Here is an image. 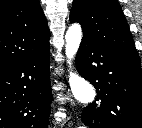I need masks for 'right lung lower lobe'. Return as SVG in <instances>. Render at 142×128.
<instances>
[{
    "label": "right lung lower lobe",
    "mask_w": 142,
    "mask_h": 128,
    "mask_svg": "<svg viewBox=\"0 0 142 128\" xmlns=\"http://www.w3.org/2000/svg\"><path fill=\"white\" fill-rule=\"evenodd\" d=\"M50 46L0 72V127L47 128Z\"/></svg>",
    "instance_id": "1"
}]
</instances>
